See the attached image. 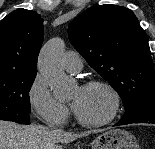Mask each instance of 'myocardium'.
<instances>
[{"instance_id": "myocardium-1", "label": "myocardium", "mask_w": 155, "mask_h": 149, "mask_svg": "<svg viewBox=\"0 0 155 149\" xmlns=\"http://www.w3.org/2000/svg\"><path fill=\"white\" fill-rule=\"evenodd\" d=\"M82 87L83 88H101L105 92H107V94L111 98V111L105 119L100 121L85 120L75 111L76 120L81 125L87 126V127H101L112 122L117 117L121 106V97L117 89L114 86H112L110 83L104 80H98V79L90 80L86 82Z\"/></svg>"}]
</instances>
